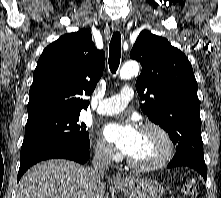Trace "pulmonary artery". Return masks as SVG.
Instances as JSON below:
<instances>
[{
	"mask_svg": "<svg viewBox=\"0 0 221 198\" xmlns=\"http://www.w3.org/2000/svg\"><path fill=\"white\" fill-rule=\"evenodd\" d=\"M133 95L134 92L131 87H123L119 94L101 100L97 112L101 115L119 113L127 106Z\"/></svg>",
	"mask_w": 221,
	"mask_h": 198,
	"instance_id": "pulmonary-artery-1",
	"label": "pulmonary artery"
}]
</instances>
